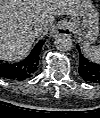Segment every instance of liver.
I'll return each instance as SVG.
<instances>
[{"instance_id": "obj_1", "label": "liver", "mask_w": 100, "mask_h": 118, "mask_svg": "<svg viewBox=\"0 0 100 118\" xmlns=\"http://www.w3.org/2000/svg\"><path fill=\"white\" fill-rule=\"evenodd\" d=\"M83 0H0V58L16 62L30 51L38 23L74 15Z\"/></svg>"}]
</instances>
